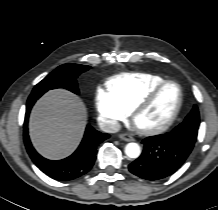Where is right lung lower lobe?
Wrapping results in <instances>:
<instances>
[{
	"mask_svg": "<svg viewBox=\"0 0 218 210\" xmlns=\"http://www.w3.org/2000/svg\"><path fill=\"white\" fill-rule=\"evenodd\" d=\"M41 95L29 96L26 104L24 143L30 158L43 173L55 180L69 181L86 174L95 162L97 146L109 138V134L101 133L88 125L80 146L72 155L57 161L43 158L33 148L27 127L30 110Z\"/></svg>",
	"mask_w": 218,
	"mask_h": 210,
	"instance_id": "98d812e1",
	"label": "right lung lower lobe"
}]
</instances>
